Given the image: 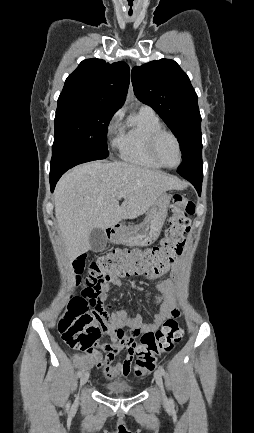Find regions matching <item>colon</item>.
Here are the masks:
<instances>
[{
    "mask_svg": "<svg viewBox=\"0 0 254 433\" xmlns=\"http://www.w3.org/2000/svg\"><path fill=\"white\" fill-rule=\"evenodd\" d=\"M172 210L164 237L158 246L146 250L116 249L95 258L88 267V274L83 286L88 300L80 297L72 304L58 322V332L63 342L72 349L93 354L99 334V307L101 303L98 291L116 277L136 274H157L163 271L183 251L190 228V216L194 214V203L182 194L173 195ZM85 267L82 259L74 264L77 273ZM178 313L166 319L162 326L146 332L140 344L134 347L137 360L134 373L138 377L153 372L158 357L170 353L183 336V330L177 319Z\"/></svg>",
    "mask_w": 254,
    "mask_h": 433,
    "instance_id": "obj_1",
    "label": "colon"
}]
</instances>
